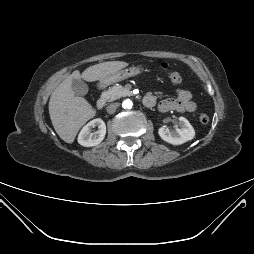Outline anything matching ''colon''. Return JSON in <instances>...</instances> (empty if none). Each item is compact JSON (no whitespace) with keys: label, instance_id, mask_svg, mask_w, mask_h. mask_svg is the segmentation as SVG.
<instances>
[{"label":"colon","instance_id":"5ec220e1","mask_svg":"<svg viewBox=\"0 0 254 254\" xmlns=\"http://www.w3.org/2000/svg\"><path fill=\"white\" fill-rule=\"evenodd\" d=\"M162 68L167 72V76L169 80L174 84H181L183 81V77L180 73L169 70L168 65L163 63ZM199 120L201 123L206 124L209 121V116L206 113H200Z\"/></svg>","mask_w":254,"mask_h":254}]
</instances>
